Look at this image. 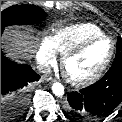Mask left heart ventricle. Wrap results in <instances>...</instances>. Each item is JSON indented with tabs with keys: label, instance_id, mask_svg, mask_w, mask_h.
Segmentation results:
<instances>
[{
	"label": "left heart ventricle",
	"instance_id": "b2bd125f",
	"mask_svg": "<svg viewBox=\"0 0 122 122\" xmlns=\"http://www.w3.org/2000/svg\"><path fill=\"white\" fill-rule=\"evenodd\" d=\"M111 51L108 40L96 42L81 54L71 58L66 65V72L75 79H83L96 72L106 61Z\"/></svg>",
	"mask_w": 122,
	"mask_h": 122
}]
</instances>
